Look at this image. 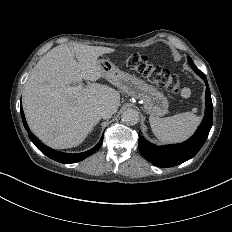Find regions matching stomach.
I'll return each instance as SVG.
<instances>
[{
	"mask_svg": "<svg viewBox=\"0 0 232 232\" xmlns=\"http://www.w3.org/2000/svg\"><path fill=\"white\" fill-rule=\"evenodd\" d=\"M103 77L122 92L127 93L134 99H139L144 109L151 116H163L168 111L167 98L156 88L148 85L136 76L130 75L118 69L110 60H100Z\"/></svg>",
	"mask_w": 232,
	"mask_h": 232,
	"instance_id": "0dacf381",
	"label": "stomach"
}]
</instances>
